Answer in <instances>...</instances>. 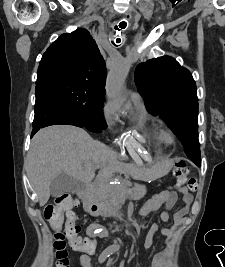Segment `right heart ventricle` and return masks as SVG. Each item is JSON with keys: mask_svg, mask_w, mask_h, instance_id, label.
<instances>
[{"mask_svg": "<svg viewBox=\"0 0 225 267\" xmlns=\"http://www.w3.org/2000/svg\"><path fill=\"white\" fill-rule=\"evenodd\" d=\"M131 117L136 127L145 131L149 136L157 141H161L160 129L150 119V115L140 99H133V107L131 108Z\"/></svg>", "mask_w": 225, "mask_h": 267, "instance_id": "1", "label": "right heart ventricle"}]
</instances>
